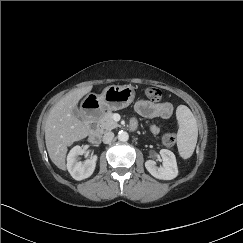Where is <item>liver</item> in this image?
Listing matches in <instances>:
<instances>
[{"label": "liver", "mask_w": 243, "mask_h": 243, "mask_svg": "<svg viewBox=\"0 0 243 243\" xmlns=\"http://www.w3.org/2000/svg\"><path fill=\"white\" fill-rule=\"evenodd\" d=\"M92 86L74 89L62 97L51 109L45 124V143L51 161L61 170L66 169L68 147L89 135L88 126L73 115L80 99Z\"/></svg>", "instance_id": "obj_1"}]
</instances>
